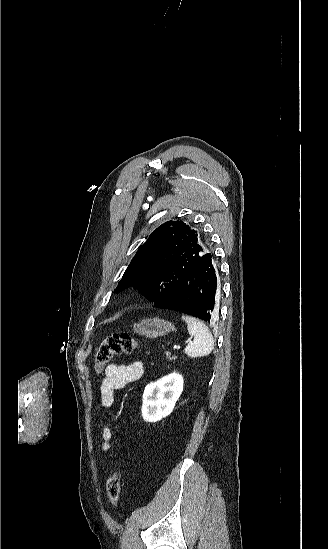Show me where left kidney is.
<instances>
[{"mask_svg":"<svg viewBox=\"0 0 328 549\" xmlns=\"http://www.w3.org/2000/svg\"><path fill=\"white\" fill-rule=\"evenodd\" d=\"M183 377L171 373L156 383H149L143 393L142 417L148 423H156L172 413L183 391Z\"/></svg>","mask_w":328,"mask_h":549,"instance_id":"obj_1","label":"left kidney"}]
</instances>
